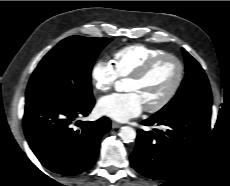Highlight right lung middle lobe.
Masks as SVG:
<instances>
[{"instance_id":"right-lung-middle-lobe-1","label":"right lung middle lobe","mask_w":230,"mask_h":186,"mask_svg":"<svg viewBox=\"0 0 230 186\" xmlns=\"http://www.w3.org/2000/svg\"><path fill=\"white\" fill-rule=\"evenodd\" d=\"M110 38L70 36L60 41L40 61L26 91V103L54 97L66 101L93 98L91 70Z\"/></svg>"}]
</instances>
